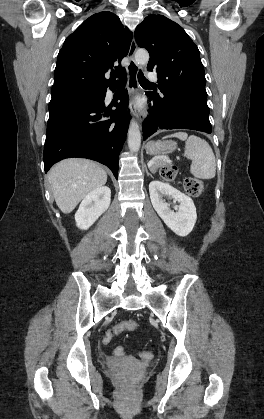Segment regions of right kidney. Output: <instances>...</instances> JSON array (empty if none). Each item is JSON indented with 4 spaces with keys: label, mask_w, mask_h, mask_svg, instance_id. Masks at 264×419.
Returning a JSON list of instances; mask_svg holds the SVG:
<instances>
[{
    "label": "right kidney",
    "mask_w": 264,
    "mask_h": 419,
    "mask_svg": "<svg viewBox=\"0 0 264 419\" xmlns=\"http://www.w3.org/2000/svg\"><path fill=\"white\" fill-rule=\"evenodd\" d=\"M111 190L102 186L91 191L81 202L75 214L78 228L87 230L109 208Z\"/></svg>",
    "instance_id": "obj_1"
}]
</instances>
